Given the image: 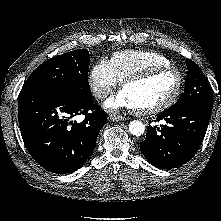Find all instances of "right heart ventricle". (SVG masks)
Listing matches in <instances>:
<instances>
[{"mask_svg":"<svg viewBox=\"0 0 221 221\" xmlns=\"http://www.w3.org/2000/svg\"><path fill=\"white\" fill-rule=\"evenodd\" d=\"M109 63L119 81L153 67L172 66L167 57L149 50L118 51L111 56Z\"/></svg>","mask_w":221,"mask_h":221,"instance_id":"1","label":"right heart ventricle"}]
</instances>
